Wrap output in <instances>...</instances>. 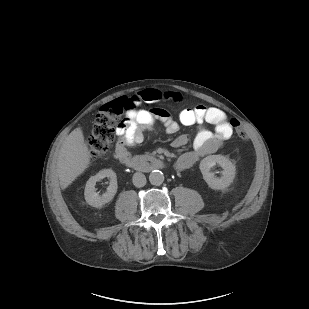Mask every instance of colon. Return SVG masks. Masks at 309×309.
Here are the masks:
<instances>
[{"label": "colon", "mask_w": 309, "mask_h": 309, "mask_svg": "<svg viewBox=\"0 0 309 309\" xmlns=\"http://www.w3.org/2000/svg\"><path fill=\"white\" fill-rule=\"evenodd\" d=\"M129 108V99L119 98L104 104L96 115L91 135L88 140V154L90 160L106 157L116 139L117 132L124 127L126 119L123 113ZM239 138L248 139V133L237 121L232 123Z\"/></svg>", "instance_id": "5ec220e1"}]
</instances>
